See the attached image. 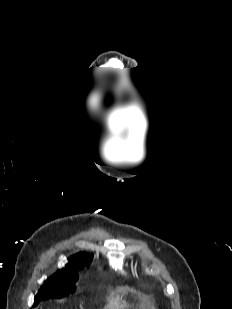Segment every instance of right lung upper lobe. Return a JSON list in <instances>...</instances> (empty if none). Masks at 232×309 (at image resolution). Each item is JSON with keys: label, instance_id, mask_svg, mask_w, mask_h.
I'll return each mask as SVG.
<instances>
[{"label": "right lung upper lobe", "instance_id": "obj_1", "mask_svg": "<svg viewBox=\"0 0 232 309\" xmlns=\"http://www.w3.org/2000/svg\"><path fill=\"white\" fill-rule=\"evenodd\" d=\"M92 261V255L88 253H78L69 259V263L65 268L57 271L54 275L50 276L45 283L53 284L60 282H76L78 280L77 272L85 267H88ZM66 294L58 297L62 298Z\"/></svg>", "mask_w": 232, "mask_h": 309}]
</instances>
